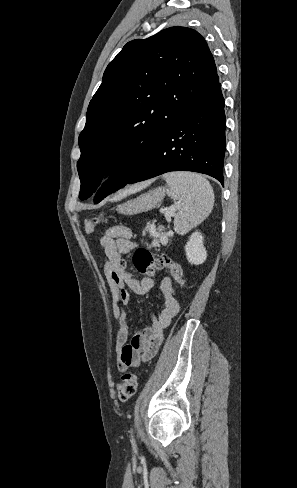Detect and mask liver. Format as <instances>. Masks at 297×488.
Wrapping results in <instances>:
<instances>
[{"mask_svg": "<svg viewBox=\"0 0 297 488\" xmlns=\"http://www.w3.org/2000/svg\"><path fill=\"white\" fill-rule=\"evenodd\" d=\"M148 184L149 183H142V184H140L138 186H134V187L130 188L129 190H126L124 192V194L130 193V192H133V191H136L137 189H142L143 187L147 186Z\"/></svg>", "mask_w": 297, "mask_h": 488, "instance_id": "obj_1", "label": "liver"}]
</instances>
